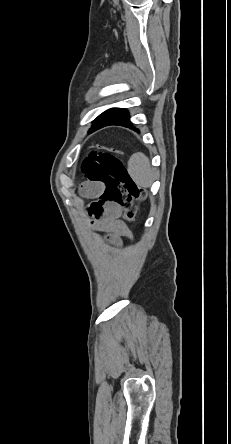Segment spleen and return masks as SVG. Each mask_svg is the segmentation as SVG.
<instances>
[{
	"label": "spleen",
	"mask_w": 231,
	"mask_h": 444,
	"mask_svg": "<svg viewBox=\"0 0 231 444\" xmlns=\"http://www.w3.org/2000/svg\"><path fill=\"white\" fill-rule=\"evenodd\" d=\"M128 173L133 181L144 188L152 185L154 171L146 155L141 152L133 154L128 161Z\"/></svg>",
	"instance_id": "spleen-1"
}]
</instances>
